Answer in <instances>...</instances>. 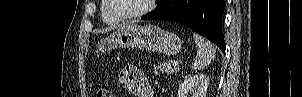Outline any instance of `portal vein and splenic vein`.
<instances>
[{"mask_svg": "<svg viewBox=\"0 0 302 97\" xmlns=\"http://www.w3.org/2000/svg\"><path fill=\"white\" fill-rule=\"evenodd\" d=\"M178 64H179V62H178V61H174V62H173V66H174V67H177V66H178Z\"/></svg>", "mask_w": 302, "mask_h": 97, "instance_id": "obj_1", "label": "portal vein and splenic vein"}]
</instances>
